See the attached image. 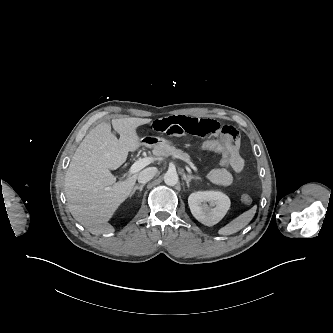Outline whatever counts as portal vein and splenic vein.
<instances>
[{
	"instance_id": "obj_1",
	"label": "portal vein and splenic vein",
	"mask_w": 333,
	"mask_h": 333,
	"mask_svg": "<svg viewBox=\"0 0 333 333\" xmlns=\"http://www.w3.org/2000/svg\"><path fill=\"white\" fill-rule=\"evenodd\" d=\"M156 159L152 158V157H145V158H141L138 159L136 162H134V164L130 167L129 169V174L133 175L137 172H139L141 169H143L144 167L148 166L149 164H151L152 162H154ZM191 168L195 169V166L193 164H190Z\"/></svg>"
}]
</instances>
